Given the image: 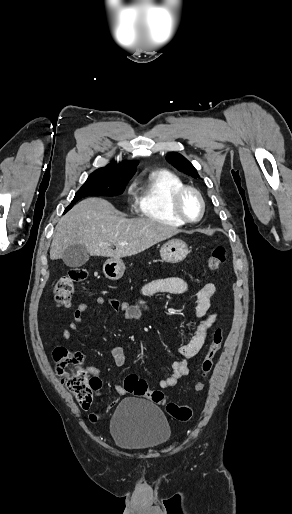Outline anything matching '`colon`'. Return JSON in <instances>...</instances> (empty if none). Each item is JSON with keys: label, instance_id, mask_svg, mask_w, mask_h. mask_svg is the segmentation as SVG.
Here are the masks:
<instances>
[{"label": "colon", "instance_id": "obj_1", "mask_svg": "<svg viewBox=\"0 0 292 514\" xmlns=\"http://www.w3.org/2000/svg\"><path fill=\"white\" fill-rule=\"evenodd\" d=\"M226 258V248L215 246L208 261L207 268L215 271L221 267ZM87 273L78 268L70 269L67 274L60 277L54 286V297L57 306L68 307L71 304L77 285L86 280ZM224 340L223 327L215 328L209 343L207 344L201 361V378L205 379L213 368V360ZM55 373L64 380L66 389L71 392L80 407L91 408L95 401L96 393L101 389V379L98 376H90L83 368L84 357L80 351L70 350L63 346H55L53 349ZM125 391L137 398H144L164 407L169 416L179 421L189 420L193 415V409L188 405H179L168 401L160 389L150 388L147 381L136 374H129L124 378ZM205 388L203 381H198L194 389L197 392ZM91 420L98 418L96 411L89 413Z\"/></svg>", "mask_w": 292, "mask_h": 514}]
</instances>
